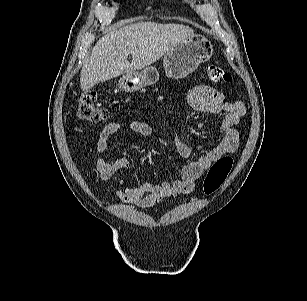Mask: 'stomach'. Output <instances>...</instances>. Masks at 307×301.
<instances>
[{"label":"stomach","instance_id":"stomach-1","mask_svg":"<svg viewBox=\"0 0 307 301\" xmlns=\"http://www.w3.org/2000/svg\"><path fill=\"white\" fill-rule=\"evenodd\" d=\"M213 47L202 35H192L178 42L163 59L165 73L172 79L187 77L198 66L210 60ZM159 79L156 68L148 66L142 71H132L124 74L118 87L126 92L138 91L146 85H153Z\"/></svg>","mask_w":307,"mask_h":301}]
</instances>
